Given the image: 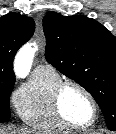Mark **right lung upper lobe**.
<instances>
[{"mask_svg": "<svg viewBox=\"0 0 116 134\" xmlns=\"http://www.w3.org/2000/svg\"><path fill=\"white\" fill-rule=\"evenodd\" d=\"M34 30L31 17L10 12L0 18V82H15L13 58Z\"/></svg>", "mask_w": 116, "mask_h": 134, "instance_id": "1", "label": "right lung upper lobe"}]
</instances>
